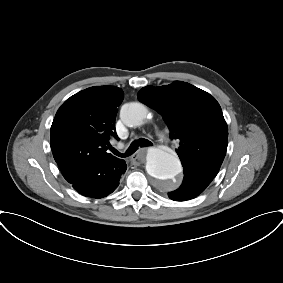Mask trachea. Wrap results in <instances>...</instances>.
I'll use <instances>...</instances> for the list:
<instances>
[{"mask_svg":"<svg viewBox=\"0 0 283 283\" xmlns=\"http://www.w3.org/2000/svg\"><path fill=\"white\" fill-rule=\"evenodd\" d=\"M151 145H152V143L149 140L144 139V138H140L138 140H134L130 144L128 150L124 154L118 152L115 149H113L112 151L115 155H117L119 157H128V156L132 155L138 149L139 146L140 147H147V146H151Z\"/></svg>","mask_w":283,"mask_h":283,"instance_id":"trachea-1","label":"trachea"}]
</instances>
